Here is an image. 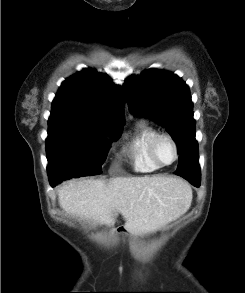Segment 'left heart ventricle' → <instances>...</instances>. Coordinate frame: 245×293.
Wrapping results in <instances>:
<instances>
[{
	"mask_svg": "<svg viewBox=\"0 0 245 293\" xmlns=\"http://www.w3.org/2000/svg\"><path fill=\"white\" fill-rule=\"evenodd\" d=\"M157 153L159 159L163 163H169L173 160L174 150L171 143L168 140H161L157 146Z\"/></svg>",
	"mask_w": 245,
	"mask_h": 293,
	"instance_id": "obj_1",
	"label": "left heart ventricle"
}]
</instances>
